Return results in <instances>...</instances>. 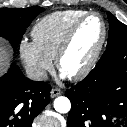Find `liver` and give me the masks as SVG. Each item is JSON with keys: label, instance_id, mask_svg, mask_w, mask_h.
<instances>
[{"label": "liver", "instance_id": "liver-1", "mask_svg": "<svg viewBox=\"0 0 127 127\" xmlns=\"http://www.w3.org/2000/svg\"><path fill=\"white\" fill-rule=\"evenodd\" d=\"M10 57L11 53L8 48L0 41V75L7 70Z\"/></svg>", "mask_w": 127, "mask_h": 127}]
</instances>
